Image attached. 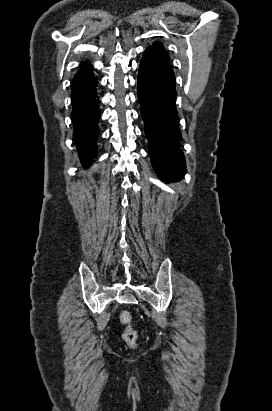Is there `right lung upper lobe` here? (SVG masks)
<instances>
[{
    "label": "right lung upper lobe",
    "mask_w": 272,
    "mask_h": 411,
    "mask_svg": "<svg viewBox=\"0 0 272 411\" xmlns=\"http://www.w3.org/2000/svg\"><path fill=\"white\" fill-rule=\"evenodd\" d=\"M92 67L89 64L81 63L80 70L74 77L72 89L79 88L94 78L91 73Z\"/></svg>",
    "instance_id": "obj_1"
}]
</instances>
